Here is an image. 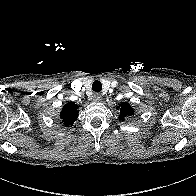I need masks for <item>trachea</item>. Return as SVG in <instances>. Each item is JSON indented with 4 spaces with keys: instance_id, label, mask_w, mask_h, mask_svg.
<instances>
[{
    "instance_id": "1",
    "label": "trachea",
    "mask_w": 196,
    "mask_h": 196,
    "mask_svg": "<svg viewBox=\"0 0 196 196\" xmlns=\"http://www.w3.org/2000/svg\"><path fill=\"white\" fill-rule=\"evenodd\" d=\"M92 90L95 92H100L102 90V84L100 81H94L92 84Z\"/></svg>"
}]
</instances>
